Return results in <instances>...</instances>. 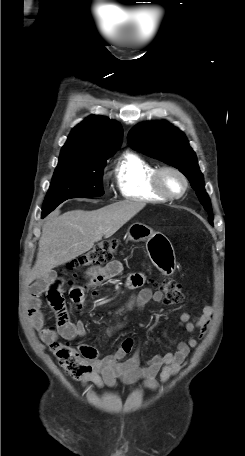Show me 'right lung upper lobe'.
Here are the masks:
<instances>
[{"instance_id":"obj_1","label":"right lung upper lobe","mask_w":245,"mask_h":456,"mask_svg":"<svg viewBox=\"0 0 245 456\" xmlns=\"http://www.w3.org/2000/svg\"><path fill=\"white\" fill-rule=\"evenodd\" d=\"M122 135L123 129L118 122L89 116L71 131L61 150L59 163L107 159L120 146Z\"/></svg>"}]
</instances>
